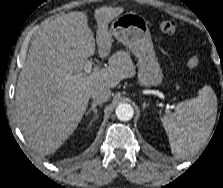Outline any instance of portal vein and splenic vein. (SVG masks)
Here are the masks:
<instances>
[{"label":"portal vein and splenic vein","instance_id":"1","mask_svg":"<svg viewBox=\"0 0 223 188\" xmlns=\"http://www.w3.org/2000/svg\"><path fill=\"white\" fill-rule=\"evenodd\" d=\"M91 71H92V61H87L84 64V73H83V75L89 74V73H91ZM77 76H80V75H77ZM73 77H76V75H72V74H68L67 75L68 79H71ZM159 93L160 92H157L156 94L159 95Z\"/></svg>","mask_w":223,"mask_h":188}]
</instances>
